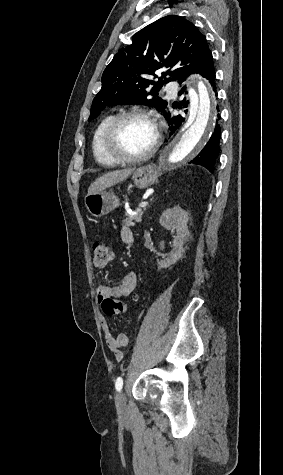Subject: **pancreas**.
<instances>
[{
	"label": "pancreas",
	"instance_id": "pancreas-1",
	"mask_svg": "<svg viewBox=\"0 0 283 475\" xmlns=\"http://www.w3.org/2000/svg\"><path fill=\"white\" fill-rule=\"evenodd\" d=\"M144 212L145 210H141V208L135 210L134 216H130V214L125 212V220H122V226H135V224H138V222H142V216Z\"/></svg>",
	"mask_w": 283,
	"mask_h": 475
}]
</instances>
